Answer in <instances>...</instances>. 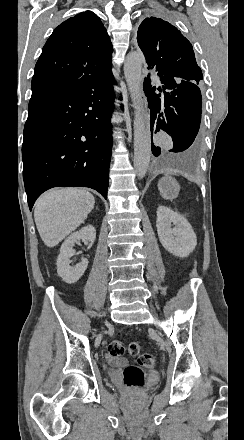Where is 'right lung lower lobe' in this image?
<instances>
[{"mask_svg": "<svg viewBox=\"0 0 244 440\" xmlns=\"http://www.w3.org/2000/svg\"><path fill=\"white\" fill-rule=\"evenodd\" d=\"M113 83L109 69L32 91L22 145L30 210L52 187H90L107 199Z\"/></svg>", "mask_w": 244, "mask_h": 440, "instance_id": "obj_1", "label": "right lung lower lobe"}]
</instances>
